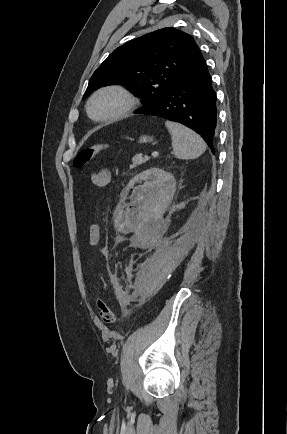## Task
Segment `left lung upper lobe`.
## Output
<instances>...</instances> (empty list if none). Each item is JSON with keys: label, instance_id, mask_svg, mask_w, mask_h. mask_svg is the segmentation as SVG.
<instances>
[{"label": "left lung upper lobe", "instance_id": "left-lung-upper-lobe-1", "mask_svg": "<svg viewBox=\"0 0 287 434\" xmlns=\"http://www.w3.org/2000/svg\"><path fill=\"white\" fill-rule=\"evenodd\" d=\"M193 38L175 28H163L114 50L93 73L83 99L112 84L133 88L144 108L159 101L177 77L202 58Z\"/></svg>", "mask_w": 287, "mask_h": 434}]
</instances>
